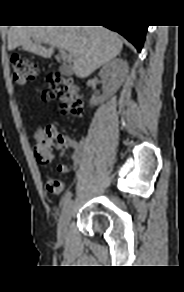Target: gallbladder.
Instances as JSON below:
<instances>
[{
  "label": "gallbladder",
  "instance_id": "1",
  "mask_svg": "<svg viewBox=\"0 0 184 292\" xmlns=\"http://www.w3.org/2000/svg\"><path fill=\"white\" fill-rule=\"evenodd\" d=\"M60 71L63 75H69L71 73L70 69L68 67H64V66L60 67Z\"/></svg>",
  "mask_w": 184,
  "mask_h": 292
}]
</instances>
